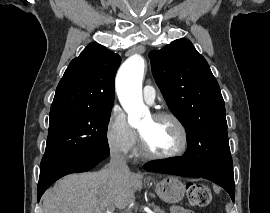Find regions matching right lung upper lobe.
Wrapping results in <instances>:
<instances>
[{
  "instance_id": "right-lung-upper-lobe-1",
  "label": "right lung upper lobe",
  "mask_w": 270,
  "mask_h": 213,
  "mask_svg": "<svg viewBox=\"0 0 270 213\" xmlns=\"http://www.w3.org/2000/svg\"><path fill=\"white\" fill-rule=\"evenodd\" d=\"M120 63L118 54L98 43L89 44L66 69L57 86L51 111L111 110L114 79Z\"/></svg>"
}]
</instances>
